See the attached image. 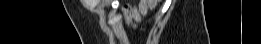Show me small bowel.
<instances>
[{
  "label": "small bowel",
  "instance_id": "1",
  "mask_svg": "<svg viewBox=\"0 0 261 44\" xmlns=\"http://www.w3.org/2000/svg\"><path fill=\"white\" fill-rule=\"evenodd\" d=\"M147 10L146 5L141 2L138 9L132 8L126 13V20L128 22V25L134 26L136 23L140 21L141 14L145 13Z\"/></svg>",
  "mask_w": 261,
  "mask_h": 44
}]
</instances>
